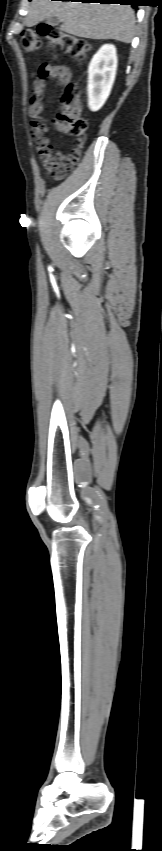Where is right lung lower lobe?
I'll return each instance as SVG.
<instances>
[{
    "instance_id": "obj_1",
    "label": "right lung lower lobe",
    "mask_w": 162,
    "mask_h": 851,
    "mask_svg": "<svg viewBox=\"0 0 162 851\" xmlns=\"http://www.w3.org/2000/svg\"><path fill=\"white\" fill-rule=\"evenodd\" d=\"M62 1H74V0H62ZM81 2H90V3H101V4H121V5H140L138 4L139 0H78Z\"/></svg>"
}]
</instances>
